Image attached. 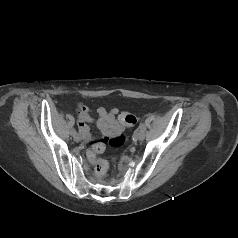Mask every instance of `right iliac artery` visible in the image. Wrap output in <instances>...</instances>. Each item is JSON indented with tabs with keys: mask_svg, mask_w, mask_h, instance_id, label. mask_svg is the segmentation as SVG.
Masks as SVG:
<instances>
[{
	"mask_svg": "<svg viewBox=\"0 0 238 238\" xmlns=\"http://www.w3.org/2000/svg\"><path fill=\"white\" fill-rule=\"evenodd\" d=\"M71 134L74 136V135L76 134V130L73 129V130L71 131Z\"/></svg>",
	"mask_w": 238,
	"mask_h": 238,
	"instance_id": "1",
	"label": "right iliac artery"
}]
</instances>
